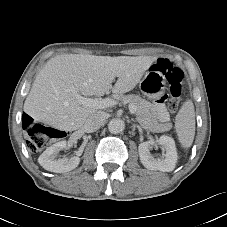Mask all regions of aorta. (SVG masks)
Here are the masks:
<instances>
[{"label": "aorta", "instance_id": "aorta-1", "mask_svg": "<svg viewBox=\"0 0 227 227\" xmlns=\"http://www.w3.org/2000/svg\"><path fill=\"white\" fill-rule=\"evenodd\" d=\"M125 128V123L119 118H114L108 123V130L113 134L121 133Z\"/></svg>", "mask_w": 227, "mask_h": 227}]
</instances>
